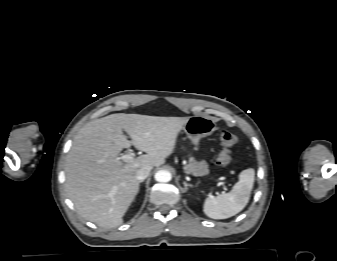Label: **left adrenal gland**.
Listing matches in <instances>:
<instances>
[{
    "instance_id": "1",
    "label": "left adrenal gland",
    "mask_w": 337,
    "mask_h": 261,
    "mask_svg": "<svg viewBox=\"0 0 337 261\" xmlns=\"http://www.w3.org/2000/svg\"><path fill=\"white\" fill-rule=\"evenodd\" d=\"M183 184H184V191L186 192L187 190H188V187H191V185L190 184H187L185 181L183 182Z\"/></svg>"
}]
</instances>
